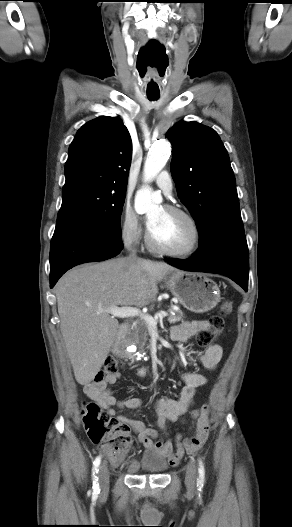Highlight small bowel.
I'll return each mask as SVG.
<instances>
[{
	"instance_id": "small-bowel-1",
	"label": "small bowel",
	"mask_w": 292,
	"mask_h": 527,
	"mask_svg": "<svg viewBox=\"0 0 292 527\" xmlns=\"http://www.w3.org/2000/svg\"><path fill=\"white\" fill-rule=\"evenodd\" d=\"M209 327V322L205 320L186 321L172 328L171 338L174 341L185 342ZM221 357L222 348L215 344L200 352L197 355V361L203 369L212 371L219 364ZM119 378L120 374L115 373L107 376L101 382L90 383L84 387L86 395L104 407L109 415L115 414L114 406L136 409L142 405L139 398L117 401L109 385L116 383ZM181 379L184 382V387L177 399L162 397L155 404L157 425L162 433L147 427L140 420L130 419L122 415L117 416L137 434L138 441L142 446L167 457L172 465L180 461L184 451L193 453L200 449L206 442L210 431L209 407L204 405L200 409H191L196 390L207 383V378L200 373L187 372L181 374ZM187 414L192 418L195 434L190 438H184L181 433L176 434L174 449V443L168 436L166 426L168 423L182 420ZM161 437L164 440H157Z\"/></svg>"
}]
</instances>
